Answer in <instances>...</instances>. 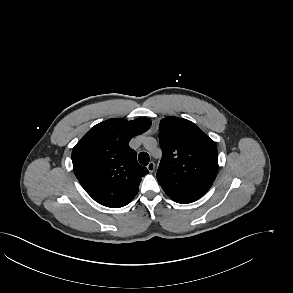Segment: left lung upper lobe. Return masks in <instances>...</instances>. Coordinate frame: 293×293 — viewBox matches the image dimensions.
Returning <instances> with one entry per match:
<instances>
[{"mask_svg":"<svg viewBox=\"0 0 293 293\" xmlns=\"http://www.w3.org/2000/svg\"><path fill=\"white\" fill-rule=\"evenodd\" d=\"M162 159L157 180L173 200L196 201L213 184L218 172L217 147L194 123L166 117L159 125Z\"/></svg>","mask_w":293,"mask_h":293,"instance_id":"5c2ea615","label":"left lung upper lobe"}]
</instances>
